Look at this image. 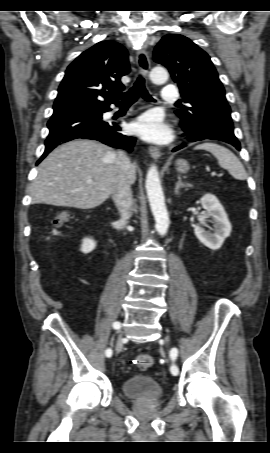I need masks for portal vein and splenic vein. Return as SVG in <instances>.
Segmentation results:
<instances>
[{
  "instance_id": "portal-vein-and-splenic-vein-1",
  "label": "portal vein and splenic vein",
  "mask_w": 270,
  "mask_h": 453,
  "mask_svg": "<svg viewBox=\"0 0 270 453\" xmlns=\"http://www.w3.org/2000/svg\"><path fill=\"white\" fill-rule=\"evenodd\" d=\"M211 174H212V176L216 175L215 172H212ZM87 182L90 184V183H92V180H87Z\"/></svg>"
}]
</instances>
